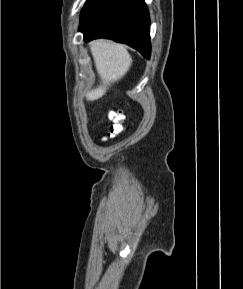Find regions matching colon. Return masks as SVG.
I'll return each mask as SVG.
<instances>
[{
	"instance_id": "obj_1",
	"label": "colon",
	"mask_w": 243,
	"mask_h": 289,
	"mask_svg": "<svg viewBox=\"0 0 243 289\" xmlns=\"http://www.w3.org/2000/svg\"><path fill=\"white\" fill-rule=\"evenodd\" d=\"M109 119L112 121L108 136L115 137L121 134L125 130L124 115L119 111H111L109 113Z\"/></svg>"
}]
</instances>
